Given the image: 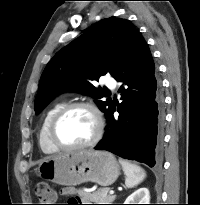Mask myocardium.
<instances>
[{
  "label": "myocardium",
  "instance_id": "f54148a6",
  "mask_svg": "<svg viewBox=\"0 0 200 205\" xmlns=\"http://www.w3.org/2000/svg\"><path fill=\"white\" fill-rule=\"evenodd\" d=\"M78 108L86 109L92 114L95 121V133L93 137L85 143L79 145H72V146L63 145L56 138L57 125L65 114H67L69 111L73 109H78ZM104 128H105V123H104L102 113L96 105L87 101H75V102L65 104L54 115L49 126V139L57 150L76 151V150L86 149L95 146L102 139L104 134Z\"/></svg>",
  "mask_w": 200,
  "mask_h": 205
}]
</instances>
